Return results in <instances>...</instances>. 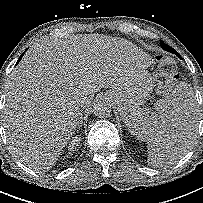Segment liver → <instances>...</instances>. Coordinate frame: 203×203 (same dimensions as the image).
<instances>
[{"label": "liver", "mask_w": 203, "mask_h": 203, "mask_svg": "<svg viewBox=\"0 0 203 203\" xmlns=\"http://www.w3.org/2000/svg\"><path fill=\"white\" fill-rule=\"evenodd\" d=\"M150 65L148 54L127 40L39 39L6 83L4 127L14 155L31 169L49 170L81 122V102L88 106L101 88H112V99L118 86ZM168 124L161 135L184 144L185 131Z\"/></svg>", "instance_id": "6515ba94"}]
</instances>
